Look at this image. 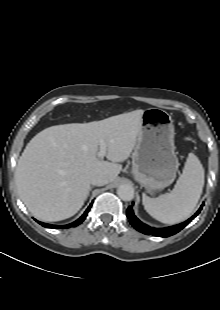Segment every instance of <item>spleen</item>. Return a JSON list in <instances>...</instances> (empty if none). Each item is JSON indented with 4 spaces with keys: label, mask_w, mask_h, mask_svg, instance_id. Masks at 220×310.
Here are the masks:
<instances>
[{
    "label": "spleen",
    "mask_w": 220,
    "mask_h": 310,
    "mask_svg": "<svg viewBox=\"0 0 220 310\" xmlns=\"http://www.w3.org/2000/svg\"><path fill=\"white\" fill-rule=\"evenodd\" d=\"M204 186V169L193 153L188 155L183 173L170 193L157 198L143 195L145 210L156 220L175 224L187 219L196 207Z\"/></svg>",
    "instance_id": "obj_1"
}]
</instances>
